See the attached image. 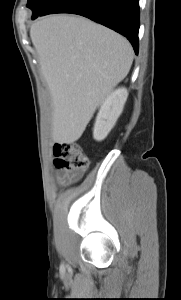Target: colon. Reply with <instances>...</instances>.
<instances>
[{
    "mask_svg": "<svg viewBox=\"0 0 181 300\" xmlns=\"http://www.w3.org/2000/svg\"><path fill=\"white\" fill-rule=\"evenodd\" d=\"M53 154L55 166L68 171L72 176H79L88 169L89 159L77 143H56L53 147Z\"/></svg>",
    "mask_w": 181,
    "mask_h": 300,
    "instance_id": "1",
    "label": "colon"
}]
</instances>
